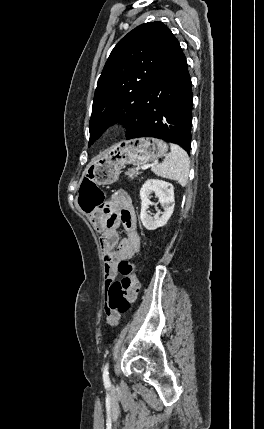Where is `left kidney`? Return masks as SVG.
Returning <instances> with one entry per match:
<instances>
[{
    "label": "left kidney",
    "mask_w": 264,
    "mask_h": 429,
    "mask_svg": "<svg viewBox=\"0 0 264 429\" xmlns=\"http://www.w3.org/2000/svg\"><path fill=\"white\" fill-rule=\"evenodd\" d=\"M154 192L161 205L164 206L162 215L156 213L154 216L148 214L147 210L151 201L149 195ZM141 213L140 220L147 230H155L164 226L174 211V188L169 182L158 179L147 180L140 189Z\"/></svg>",
    "instance_id": "1"
}]
</instances>
